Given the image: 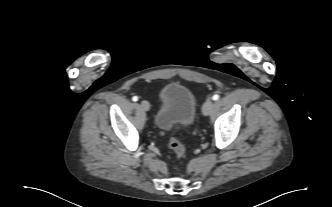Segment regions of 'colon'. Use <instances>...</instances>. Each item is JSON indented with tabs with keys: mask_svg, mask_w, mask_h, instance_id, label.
<instances>
[{
	"mask_svg": "<svg viewBox=\"0 0 332 207\" xmlns=\"http://www.w3.org/2000/svg\"><path fill=\"white\" fill-rule=\"evenodd\" d=\"M168 145L176 158H182L184 156L185 146L175 135L171 136Z\"/></svg>",
	"mask_w": 332,
	"mask_h": 207,
	"instance_id": "colon-1",
	"label": "colon"
}]
</instances>
